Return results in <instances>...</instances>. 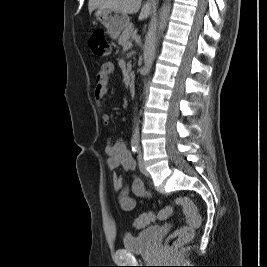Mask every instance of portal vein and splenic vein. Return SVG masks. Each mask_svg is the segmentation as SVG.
<instances>
[{
    "instance_id": "portal-vein-and-splenic-vein-1",
    "label": "portal vein and splenic vein",
    "mask_w": 267,
    "mask_h": 267,
    "mask_svg": "<svg viewBox=\"0 0 267 267\" xmlns=\"http://www.w3.org/2000/svg\"><path fill=\"white\" fill-rule=\"evenodd\" d=\"M126 46H128L130 48L132 46V43L128 42Z\"/></svg>"
}]
</instances>
